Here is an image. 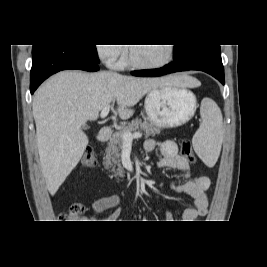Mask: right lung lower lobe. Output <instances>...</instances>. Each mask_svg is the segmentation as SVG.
<instances>
[{
	"label": "right lung lower lobe",
	"mask_w": 267,
	"mask_h": 267,
	"mask_svg": "<svg viewBox=\"0 0 267 267\" xmlns=\"http://www.w3.org/2000/svg\"><path fill=\"white\" fill-rule=\"evenodd\" d=\"M98 63L71 45H33L30 92L33 94L45 79L56 72L67 69L95 72L99 70Z\"/></svg>",
	"instance_id": "obj_1"
}]
</instances>
